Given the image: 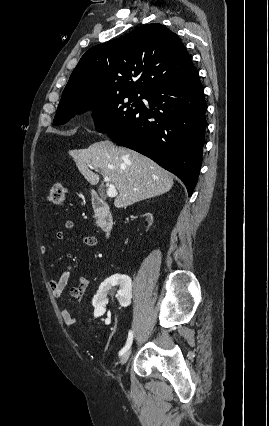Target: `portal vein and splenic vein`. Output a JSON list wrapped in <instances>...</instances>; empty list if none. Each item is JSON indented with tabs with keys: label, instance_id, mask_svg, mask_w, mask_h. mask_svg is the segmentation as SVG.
<instances>
[{
	"label": "portal vein and splenic vein",
	"instance_id": "portal-vein-and-splenic-vein-1",
	"mask_svg": "<svg viewBox=\"0 0 269 426\" xmlns=\"http://www.w3.org/2000/svg\"><path fill=\"white\" fill-rule=\"evenodd\" d=\"M89 167H90L91 169H94V167H93V166H91V165H89ZM104 181L107 183V186H108L107 191H106L107 196H108L109 198L116 197V196H117V194H118V192H117V190H116L115 186L111 183L110 179H109L107 176H104Z\"/></svg>",
	"mask_w": 269,
	"mask_h": 426
}]
</instances>
